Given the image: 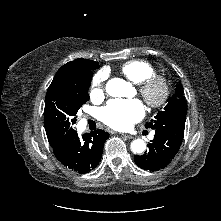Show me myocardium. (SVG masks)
Listing matches in <instances>:
<instances>
[{
    "label": "myocardium",
    "mask_w": 221,
    "mask_h": 221,
    "mask_svg": "<svg viewBox=\"0 0 221 221\" xmlns=\"http://www.w3.org/2000/svg\"><path fill=\"white\" fill-rule=\"evenodd\" d=\"M139 93L152 109L162 108L171 94L170 81L162 75H153L139 83Z\"/></svg>",
    "instance_id": "1"
}]
</instances>
